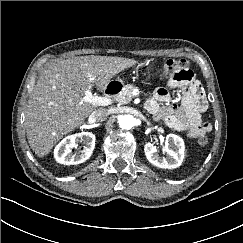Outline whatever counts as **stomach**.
Segmentation results:
<instances>
[{"mask_svg":"<svg viewBox=\"0 0 243 243\" xmlns=\"http://www.w3.org/2000/svg\"><path fill=\"white\" fill-rule=\"evenodd\" d=\"M118 81H119L121 84H123V80H122V79H119Z\"/></svg>","mask_w":243,"mask_h":243,"instance_id":"obj_1","label":"stomach"}]
</instances>
